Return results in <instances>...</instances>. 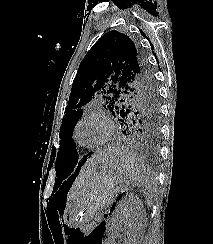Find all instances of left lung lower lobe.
I'll return each instance as SVG.
<instances>
[{
    "mask_svg": "<svg viewBox=\"0 0 213 244\" xmlns=\"http://www.w3.org/2000/svg\"><path fill=\"white\" fill-rule=\"evenodd\" d=\"M121 127L122 134L127 138H130V141H132L134 145L143 148V150L149 153L150 155H157V144L159 137L158 133L145 132L141 129L139 130V128L135 127L133 124L129 122H121ZM90 155L91 154L89 153L81 158H79L78 156L70 170V173L74 170V168L75 171L69 179H74L76 177L80 168L83 166V164L87 160V157Z\"/></svg>",
    "mask_w": 213,
    "mask_h": 244,
    "instance_id": "0a47b994",
    "label": "left lung lower lobe"
}]
</instances>
